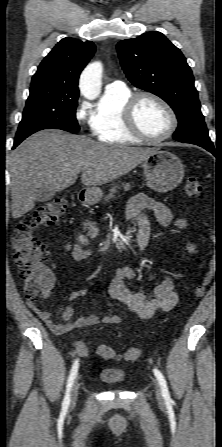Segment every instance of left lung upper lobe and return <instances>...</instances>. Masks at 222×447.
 I'll list each match as a JSON object with an SVG mask.
<instances>
[{"label": "left lung upper lobe", "instance_id": "left-lung-upper-lobe-1", "mask_svg": "<svg viewBox=\"0 0 222 447\" xmlns=\"http://www.w3.org/2000/svg\"><path fill=\"white\" fill-rule=\"evenodd\" d=\"M122 68L130 82L165 100L178 118L179 142L212 144L201 113L190 67L181 51L162 33L147 32L117 44Z\"/></svg>", "mask_w": 222, "mask_h": 447}]
</instances>
